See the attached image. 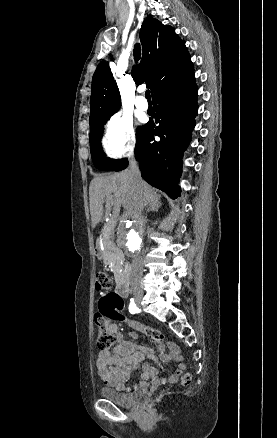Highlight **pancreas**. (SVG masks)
Returning a JSON list of instances; mask_svg holds the SVG:
<instances>
[{
  "instance_id": "obj_1",
  "label": "pancreas",
  "mask_w": 277,
  "mask_h": 438,
  "mask_svg": "<svg viewBox=\"0 0 277 438\" xmlns=\"http://www.w3.org/2000/svg\"><path fill=\"white\" fill-rule=\"evenodd\" d=\"M115 233L113 231H104L103 235H99L96 245L99 247L100 253H103V264L105 267H111L112 270H119L121 267L120 256L115 252L116 247L113 244Z\"/></svg>"
}]
</instances>
